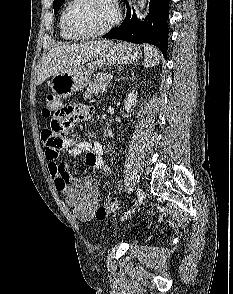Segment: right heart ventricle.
<instances>
[{"mask_svg":"<svg viewBox=\"0 0 233 294\" xmlns=\"http://www.w3.org/2000/svg\"><path fill=\"white\" fill-rule=\"evenodd\" d=\"M65 9H66V7L62 11V13L60 15V19H59V31H60V35L65 40H75L76 38L74 36H72L70 33H68V31L66 30V28L64 26V20H63V18H64Z\"/></svg>","mask_w":233,"mask_h":294,"instance_id":"1","label":"right heart ventricle"}]
</instances>
